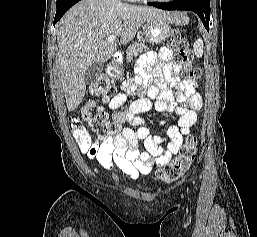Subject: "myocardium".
I'll return each mask as SVG.
<instances>
[{
    "label": "myocardium",
    "instance_id": "1",
    "mask_svg": "<svg viewBox=\"0 0 257 237\" xmlns=\"http://www.w3.org/2000/svg\"><path fill=\"white\" fill-rule=\"evenodd\" d=\"M149 1H152V2H159V3H168V2H171L173 0H149Z\"/></svg>",
    "mask_w": 257,
    "mask_h": 237
}]
</instances>
